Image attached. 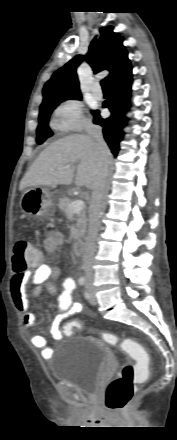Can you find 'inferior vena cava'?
I'll list each match as a JSON object with an SVG mask.
<instances>
[{
	"instance_id": "602c4592",
	"label": "inferior vena cava",
	"mask_w": 177,
	"mask_h": 440,
	"mask_svg": "<svg viewBox=\"0 0 177 440\" xmlns=\"http://www.w3.org/2000/svg\"><path fill=\"white\" fill-rule=\"evenodd\" d=\"M87 133L94 140V147L98 154V177L92 191V199L89 208V226L83 253V270L85 278L89 281L93 278V261L96 250V238L100 228V218L104 208L103 199L106 194V181L108 175V163L104 157V141L102 129L99 126L89 124Z\"/></svg>"
}]
</instances>
